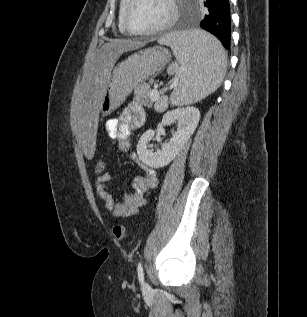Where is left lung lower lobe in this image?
<instances>
[{
  "instance_id": "obj_1",
  "label": "left lung lower lobe",
  "mask_w": 307,
  "mask_h": 317,
  "mask_svg": "<svg viewBox=\"0 0 307 317\" xmlns=\"http://www.w3.org/2000/svg\"><path fill=\"white\" fill-rule=\"evenodd\" d=\"M206 14L200 27L216 36L222 45L230 48L231 20L229 0H204Z\"/></svg>"
}]
</instances>
